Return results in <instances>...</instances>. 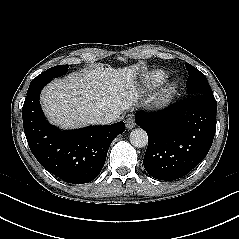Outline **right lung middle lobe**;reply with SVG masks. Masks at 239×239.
I'll list each match as a JSON object with an SVG mask.
<instances>
[{"instance_id": "obj_1", "label": "right lung middle lobe", "mask_w": 239, "mask_h": 239, "mask_svg": "<svg viewBox=\"0 0 239 239\" xmlns=\"http://www.w3.org/2000/svg\"><path fill=\"white\" fill-rule=\"evenodd\" d=\"M69 65H58L55 67H52L45 72L41 73L38 75L36 78H34L31 82V84H36V83H48L50 82L53 78L62 76L66 73L68 70Z\"/></svg>"}]
</instances>
